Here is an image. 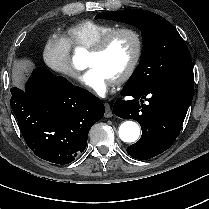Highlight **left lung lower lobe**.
I'll use <instances>...</instances> for the list:
<instances>
[{
    "mask_svg": "<svg viewBox=\"0 0 209 209\" xmlns=\"http://www.w3.org/2000/svg\"><path fill=\"white\" fill-rule=\"evenodd\" d=\"M122 96L132 100L118 99L115 115L136 120L142 129L138 142L127 148L136 159L147 160L167 150L176 140L194 94V74L185 73L157 83L132 86L121 90Z\"/></svg>",
    "mask_w": 209,
    "mask_h": 209,
    "instance_id": "0a47b994",
    "label": "left lung lower lobe"
}]
</instances>
